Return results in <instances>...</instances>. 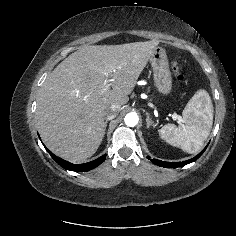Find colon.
Here are the masks:
<instances>
[{
  "mask_svg": "<svg viewBox=\"0 0 236 236\" xmlns=\"http://www.w3.org/2000/svg\"><path fill=\"white\" fill-rule=\"evenodd\" d=\"M171 69H172L173 75L177 81H179V82L184 81L185 76H184L178 62H176V61L172 62Z\"/></svg>",
  "mask_w": 236,
  "mask_h": 236,
  "instance_id": "1",
  "label": "colon"
}]
</instances>
